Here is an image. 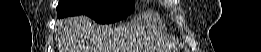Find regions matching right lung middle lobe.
I'll return each instance as SVG.
<instances>
[{
    "label": "right lung middle lobe",
    "instance_id": "dd1d6c3e",
    "mask_svg": "<svg viewBox=\"0 0 261 52\" xmlns=\"http://www.w3.org/2000/svg\"><path fill=\"white\" fill-rule=\"evenodd\" d=\"M134 10L133 0H60L57 16L85 14L98 23H112L126 17Z\"/></svg>",
    "mask_w": 261,
    "mask_h": 52
}]
</instances>
